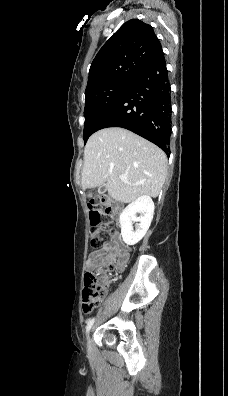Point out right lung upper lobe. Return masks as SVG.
<instances>
[{
  "mask_svg": "<svg viewBox=\"0 0 228 396\" xmlns=\"http://www.w3.org/2000/svg\"><path fill=\"white\" fill-rule=\"evenodd\" d=\"M162 51L153 28L131 19L104 44L94 58L85 92L114 83H131Z\"/></svg>",
  "mask_w": 228,
  "mask_h": 396,
  "instance_id": "right-lung-upper-lobe-1",
  "label": "right lung upper lobe"
}]
</instances>
